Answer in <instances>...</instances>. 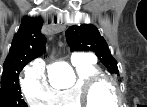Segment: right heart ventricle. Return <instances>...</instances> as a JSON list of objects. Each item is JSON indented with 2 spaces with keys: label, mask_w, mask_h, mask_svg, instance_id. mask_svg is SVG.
<instances>
[{
  "label": "right heart ventricle",
  "mask_w": 147,
  "mask_h": 107,
  "mask_svg": "<svg viewBox=\"0 0 147 107\" xmlns=\"http://www.w3.org/2000/svg\"><path fill=\"white\" fill-rule=\"evenodd\" d=\"M73 65L77 74L76 82L71 87L55 91L50 106L83 107L79 96L81 84L89 77L101 73V70L91 59L73 62Z\"/></svg>",
  "instance_id": "1"
}]
</instances>
